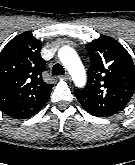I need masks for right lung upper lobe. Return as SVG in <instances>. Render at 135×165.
<instances>
[{"instance_id": "right-lung-upper-lobe-1", "label": "right lung upper lobe", "mask_w": 135, "mask_h": 165, "mask_svg": "<svg viewBox=\"0 0 135 165\" xmlns=\"http://www.w3.org/2000/svg\"><path fill=\"white\" fill-rule=\"evenodd\" d=\"M41 42L24 32L7 43L0 53V109L14 118L28 117L47 102L52 84L42 73Z\"/></svg>"}]
</instances>
